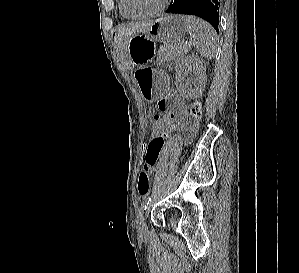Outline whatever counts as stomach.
Wrapping results in <instances>:
<instances>
[{
  "mask_svg": "<svg viewBox=\"0 0 299 273\" xmlns=\"http://www.w3.org/2000/svg\"><path fill=\"white\" fill-rule=\"evenodd\" d=\"M188 31L185 17L180 15H166L156 19L149 31L133 36L128 44L130 64L137 65L135 79L144 101H159L155 96L167 87V75L164 71L151 69V61L157 43H173L181 39Z\"/></svg>",
  "mask_w": 299,
  "mask_h": 273,
  "instance_id": "stomach-1",
  "label": "stomach"
}]
</instances>
